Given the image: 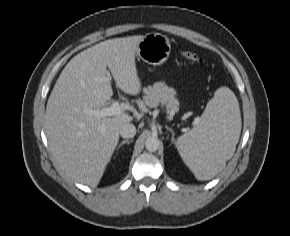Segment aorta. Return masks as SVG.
<instances>
[{
	"label": "aorta",
	"instance_id": "1",
	"mask_svg": "<svg viewBox=\"0 0 290 236\" xmlns=\"http://www.w3.org/2000/svg\"><path fill=\"white\" fill-rule=\"evenodd\" d=\"M159 145L160 141L156 137H150L145 142L146 149L150 152H155L159 148Z\"/></svg>",
	"mask_w": 290,
	"mask_h": 236
}]
</instances>
